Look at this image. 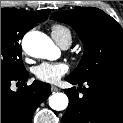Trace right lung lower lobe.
Segmentation results:
<instances>
[{
    "label": "right lung lower lobe",
    "mask_w": 123,
    "mask_h": 123,
    "mask_svg": "<svg viewBox=\"0 0 123 123\" xmlns=\"http://www.w3.org/2000/svg\"><path fill=\"white\" fill-rule=\"evenodd\" d=\"M28 72L10 78L1 77V123H31L36 108L51 94L50 85L34 81L16 92L10 86L13 80L25 83Z\"/></svg>",
    "instance_id": "obj_1"
}]
</instances>
